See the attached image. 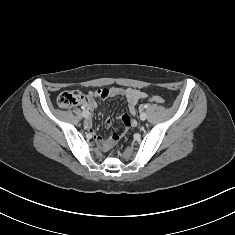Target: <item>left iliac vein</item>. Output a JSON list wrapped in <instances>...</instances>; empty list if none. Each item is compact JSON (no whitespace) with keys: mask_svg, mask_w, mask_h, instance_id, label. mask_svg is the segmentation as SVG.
I'll list each match as a JSON object with an SVG mask.
<instances>
[{"mask_svg":"<svg viewBox=\"0 0 235 235\" xmlns=\"http://www.w3.org/2000/svg\"><path fill=\"white\" fill-rule=\"evenodd\" d=\"M146 118H147V114H146L145 112H142V113L140 114V119H141V120H146Z\"/></svg>","mask_w":235,"mask_h":235,"instance_id":"4c4485c4","label":"left iliac vein"}]
</instances>
